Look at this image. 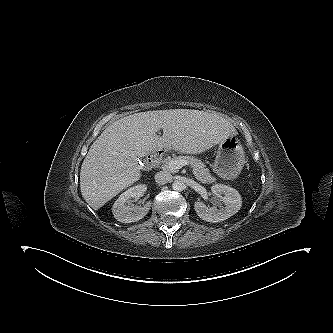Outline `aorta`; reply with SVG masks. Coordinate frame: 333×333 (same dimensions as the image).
<instances>
[{
    "mask_svg": "<svg viewBox=\"0 0 333 333\" xmlns=\"http://www.w3.org/2000/svg\"><path fill=\"white\" fill-rule=\"evenodd\" d=\"M172 188L175 191H183L185 189V184L181 180H175L172 184Z\"/></svg>",
    "mask_w": 333,
    "mask_h": 333,
    "instance_id": "762f6f07",
    "label": "aorta"
}]
</instances>
